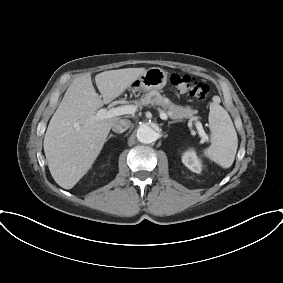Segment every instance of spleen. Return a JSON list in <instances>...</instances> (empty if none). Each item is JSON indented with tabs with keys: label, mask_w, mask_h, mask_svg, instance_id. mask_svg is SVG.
<instances>
[{
	"label": "spleen",
	"mask_w": 283,
	"mask_h": 283,
	"mask_svg": "<svg viewBox=\"0 0 283 283\" xmlns=\"http://www.w3.org/2000/svg\"><path fill=\"white\" fill-rule=\"evenodd\" d=\"M218 102L214 100L210 104L211 145L203 150V155L221 167L229 168L235 159L238 138L228 112Z\"/></svg>",
	"instance_id": "3e777b00"
}]
</instances>
